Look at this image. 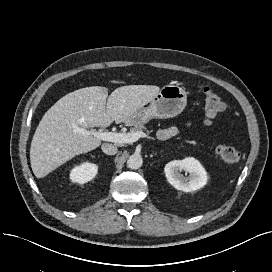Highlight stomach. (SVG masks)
<instances>
[{
    "label": "stomach",
    "mask_w": 272,
    "mask_h": 272,
    "mask_svg": "<svg viewBox=\"0 0 272 272\" xmlns=\"http://www.w3.org/2000/svg\"><path fill=\"white\" fill-rule=\"evenodd\" d=\"M187 103V93L178 85L164 86L148 107L136 110L126 121L128 125L145 124L153 118L167 119L180 114Z\"/></svg>",
    "instance_id": "obj_1"
}]
</instances>
